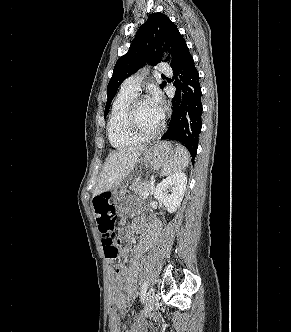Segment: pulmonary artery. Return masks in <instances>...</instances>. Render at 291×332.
Masks as SVG:
<instances>
[{"instance_id":"e3ab8cb5","label":"pulmonary artery","mask_w":291,"mask_h":332,"mask_svg":"<svg viewBox=\"0 0 291 332\" xmlns=\"http://www.w3.org/2000/svg\"><path fill=\"white\" fill-rule=\"evenodd\" d=\"M158 70L163 74H170L172 72L166 63H160ZM141 80L142 77L140 75H132L122 83V89L137 94L140 89Z\"/></svg>"}]
</instances>
